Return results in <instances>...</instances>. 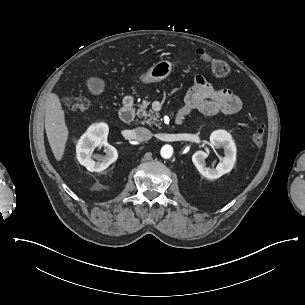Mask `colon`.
Segmentation results:
<instances>
[{"mask_svg":"<svg viewBox=\"0 0 305 305\" xmlns=\"http://www.w3.org/2000/svg\"><path fill=\"white\" fill-rule=\"evenodd\" d=\"M196 54L206 64L210 65L213 73L217 76L224 77L229 73V66L222 60L211 57L204 48H197ZM66 106L69 109H86L90 106V98H66ZM266 138V126L259 125L251 134V141L256 147H261Z\"/></svg>","mask_w":305,"mask_h":305,"instance_id":"obj_1","label":"colon"}]
</instances>
